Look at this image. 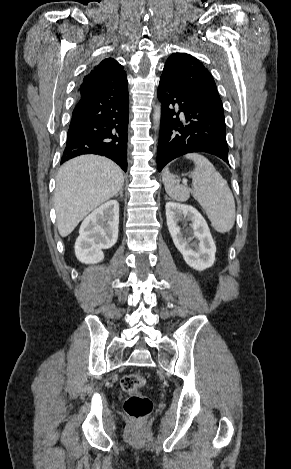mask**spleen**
Wrapping results in <instances>:
<instances>
[{
    "label": "spleen",
    "mask_w": 291,
    "mask_h": 469,
    "mask_svg": "<svg viewBox=\"0 0 291 469\" xmlns=\"http://www.w3.org/2000/svg\"><path fill=\"white\" fill-rule=\"evenodd\" d=\"M186 158L195 163V169L190 174L193 197L202 206L217 232H229L235 223L236 209L227 181L204 156L190 153ZM162 179L165 190L171 198L180 202L188 200L191 190L180 185L169 173L168 168L164 169Z\"/></svg>",
    "instance_id": "3e777b00"
}]
</instances>
